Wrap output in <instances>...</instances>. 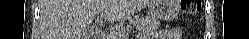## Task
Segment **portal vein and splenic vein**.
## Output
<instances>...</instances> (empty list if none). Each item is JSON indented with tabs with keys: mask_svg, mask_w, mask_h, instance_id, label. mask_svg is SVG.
I'll use <instances>...</instances> for the list:
<instances>
[{
	"mask_svg": "<svg viewBox=\"0 0 249 39\" xmlns=\"http://www.w3.org/2000/svg\"><path fill=\"white\" fill-rule=\"evenodd\" d=\"M115 33H116V34H117V33H122V31H121V30H118V31H116Z\"/></svg>",
	"mask_w": 249,
	"mask_h": 39,
	"instance_id": "18ae733b",
	"label": "portal vein and splenic vein"
}]
</instances>
